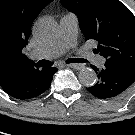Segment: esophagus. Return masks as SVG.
<instances>
[{"label": "esophagus", "instance_id": "obj_1", "mask_svg": "<svg viewBox=\"0 0 135 135\" xmlns=\"http://www.w3.org/2000/svg\"><path fill=\"white\" fill-rule=\"evenodd\" d=\"M67 66L70 68L76 69V70H80V69L84 68V64H82V63L68 64Z\"/></svg>", "mask_w": 135, "mask_h": 135}]
</instances>
